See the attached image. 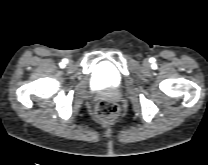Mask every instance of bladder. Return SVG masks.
Masks as SVG:
<instances>
[{"instance_id":"bladder-1","label":"bladder","mask_w":208,"mask_h":165,"mask_svg":"<svg viewBox=\"0 0 208 165\" xmlns=\"http://www.w3.org/2000/svg\"><path fill=\"white\" fill-rule=\"evenodd\" d=\"M91 82L96 89H117L122 85V77L113 65L102 63L95 69Z\"/></svg>"}]
</instances>
